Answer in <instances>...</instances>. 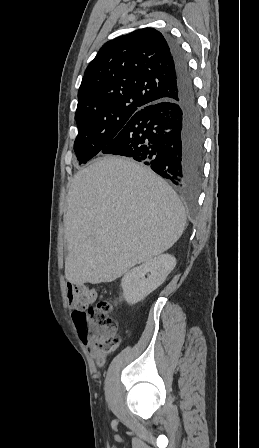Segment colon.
<instances>
[{
    "instance_id": "1",
    "label": "colon",
    "mask_w": 259,
    "mask_h": 448,
    "mask_svg": "<svg viewBox=\"0 0 259 448\" xmlns=\"http://www.w3.org/2000/svg\"><path fill=\"white\" fill-rule=\"evenodd\" d=\"M76 311L73 321L80 339L92 344L100 351H115L120 343L117 323L112 317V305L99 299V291L88 284H79L72 289Z\"/></svg>"
}]
</instances>
